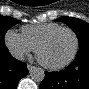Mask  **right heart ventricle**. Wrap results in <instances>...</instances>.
<instances>
[{
	"label": "right heart ventricle",
	"mask_w": 89,
	"mask_h": 89,
	"mask_svg": "<svg viewBox=\"0 0 89 89\" xmlns=\"http://www.w3.org/2000/svg\"><path fill=\"white\" fill-rule=\"evenodd\" d=\"M61 27L57 23H42L25 25L21 28V35L36 49L41 39L49 32Z\"/></svg>",
	"instance_id": "e07e8e85"
}]
</instances>
